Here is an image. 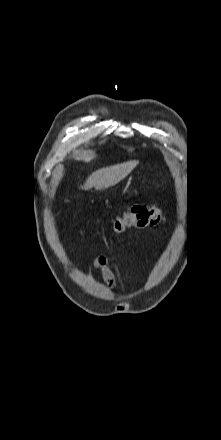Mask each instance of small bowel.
Instances as JSON below:
<instances>
[{"label":"small bowel","mask_w":221,"mask_h":440,"mask_svg":"<svg viewBox=\"0 0 221 440\" xmlns=\"http://www.w3.org/2000/svg\"><path fill=\"white\" fill-rule=\"evenodd\" d=\"M93 270L99 273L108 288L112 290L116 288L115 272L118 271V269L106 256H98L95 258L88 269L89 278L93 277Z\"/></svg>","instance_id":"small-bowel-1"}]
</instances>
